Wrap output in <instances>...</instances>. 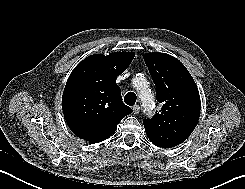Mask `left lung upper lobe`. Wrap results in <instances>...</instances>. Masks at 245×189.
Masks as SVG:
<instances>
[{"mask_svg":"<svg viewBox=\"0 0 245 189\" xmlns=\"http://www.w3.org/2000/svg\"><path fill=\"white\" fill-rule=\"evenodd\" d=\"M144 61L156 85L157 101L163 106L151 119H144L149 140L171 148L184 142L200 115L198 88L185 66L165 53H146Z\"/></svg>","mask_w":245,"mask_h":189,"instance_id":"obj_1","label":"left lung upper lobe"}]
</instances>
